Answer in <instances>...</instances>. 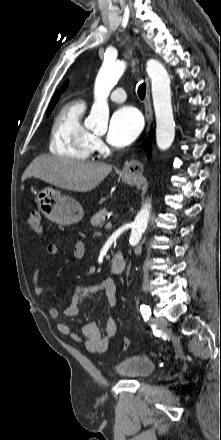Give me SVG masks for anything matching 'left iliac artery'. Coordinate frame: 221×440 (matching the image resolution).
<instances>
[{
  "mask_svg": "<svg viewBox=\"0 0 221 440\" xmlns=\"http://www.w3.org/2000/svg\"><path fill=\"white\" fill-rule=\"evenodd\" d=\"M140 311H141V314H142L144 320L147 321L149 319V316L151 315L150 307L142 304L140 306Z\"/></svg>",
  "mask_w": 221,
  "mask_h": 440,
  "instance_id": "obj_1",
  "label": "left iliac artery"
}]
</instances>
